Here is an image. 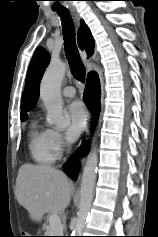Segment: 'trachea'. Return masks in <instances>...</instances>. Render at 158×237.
<instances>
[{
    "label": "trachea",
    "instance_id": "obj_1",
    "mask_svg": "<svg viewBox=\"0 0 158 237\" xmlns=\"http://www.w3.org/2000/svg\"><path fill=\"white\" fill-rule=\"evenodd\" d=\"M57 12L62 21L64 50L69 61L71 73L75 79L83 81L86 75V69L82 63L76 46L75 28L73 21L67 9H58Z\"/></svg>",
    "mask_w": 158,
    "mask_h": 237
}]
</instances>
